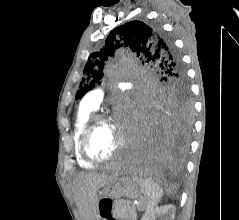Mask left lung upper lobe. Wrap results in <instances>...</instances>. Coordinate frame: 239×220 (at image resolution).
Returning a JSON list of instances; mask_svg holds the SVG:
<instances>
[{"label":"left lung upper lobe","mask_w":239,"mask_h":220,"mask_svg":"<svg viewBox=\"0 0 239 220\" xmlns=\"http://www.w3.org/2000/svg\"><path fill=\"white\" fill-rule=\"evenodd\" d=\"M123 46H129L161 76L162 83L150 101L151 109L171 112L180 124L189 127L193 105L180 56L171 40L158 27L149 26L141 21L127 22L111 31L105 47L89 56L75 99H80L94 88L103 77V68L108 56Z\"/></svg>","instance_id":"1"}]
</instances>
